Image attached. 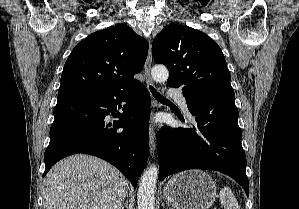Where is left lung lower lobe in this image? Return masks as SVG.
<instances>
[{
	"label": "left lung lower lobe",
	"instance_id": "0a47b994",
	"mask_svg": "<svg viewBox=\"0 0 299 209\" xmlns=\"http://www.w3.org/2000/svg\"><path fill=\"white\" fill-rule=\"evenodd\" d=\"M185 99L195 126L191 129L164 126L159 131L158 179L187 169L215 170L236 180L248 196L246 156L234 99L214 96Z\"/></svg>",
	"mask_w": 299,
	"mask_h": 209
}]
</instances>
